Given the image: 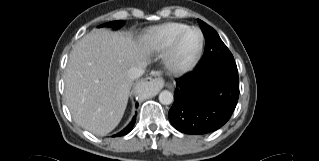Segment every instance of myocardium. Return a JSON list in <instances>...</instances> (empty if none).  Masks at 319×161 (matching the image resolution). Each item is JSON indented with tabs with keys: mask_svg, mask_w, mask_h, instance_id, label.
Returning a JSON list of instances; mask_svg holds the SVG:
<instances>
[{
	"mask_svg": "<svg viewBox=\"0 0 319 161\" xmlns=\"http://www.w3.org/2000/svg\"><path fill=\"white\" fill-rule=\"evenodd\" d=\"M191 30H196L200 34V42H199L198 49L189 60H187L185 62H180L176 56L177 46H178L181 38L187 32H189ZM203 45H204V34L199 27L190 26V27H186L183 30L179 31L173 37L169 47L167 48V52L165 55V63H166L167 68L169 69V71L172 73H175V74H182V73L189 71L198 61V59L201 55V52L203 50Z\"/></svg>",
	"mask_w": 319,
	"mask_h": 161,
	"instance_id": "myocardium-1",
	"label": "myocardium"
}]
</instances>
